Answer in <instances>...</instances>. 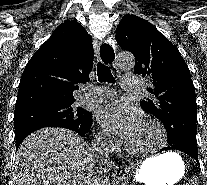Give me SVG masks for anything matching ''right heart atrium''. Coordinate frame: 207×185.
<instances>
[{"mask_svg": "<svg viewBox=\"0 0 207 185\" xmlns=\"http://www.w3.org/2000/svg\"><path fill=\"white\" fill-rule=\"evenodd\" d=\"M96 139L105 146H112L115 143L113 136L104 130H101L96 134Z\"/></svg>", "mask_w": 207, "mask_h": 185, "instance_id": "right-heart-atrium-1", "label": "right heart atrium"}]
</instances>
